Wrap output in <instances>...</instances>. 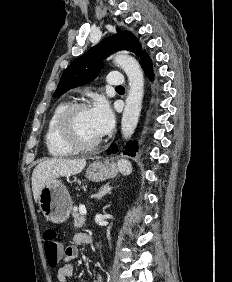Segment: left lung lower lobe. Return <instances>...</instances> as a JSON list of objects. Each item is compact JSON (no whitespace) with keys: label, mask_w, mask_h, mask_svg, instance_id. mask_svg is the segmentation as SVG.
Instances as JSON below:
<instances>
[{"label":"left lung lower lobe","mask_w":232,"mask_h":282,"mask_svg":"<svg viewBox=\"0 0 232 282\" xmlns=\"http://www.w3.org/2000/svg\"><path fill=\"white\" fill-rule=\"evenodd\" d=\"M140 64L142 66V68L144 69L145 73L148 74V76L150 77V79L153 78V74H152V65H151V60L150 57L148 56V54L143 51L142 55H141V59H140ZM125 149V153L131 156L135 155V152L138 149V146L136 143H132V142H128L126 144V146H124ZM117 152V146L116 144H112L110 146V148L107 150V153H116Z\"/></svg>","instance_id":"obj_1"}]
</instances>
